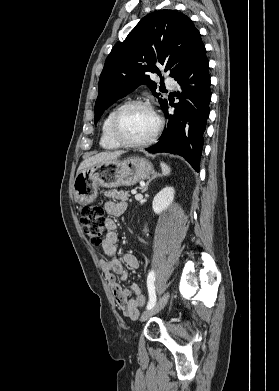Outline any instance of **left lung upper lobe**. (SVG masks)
<instances>
[{
    "instance_id": "1",
    "label": "left lung upper lobe",
    "mask_w": 279,
    "mask_h": 391,
    "mask_svg": "<svg viewBox=\"0 0 279 391\" xmlns=\"http://www.w3.org/2000/svg\"><path fill=\"white\" fill-rule=\"evenodd\" d=\"M202 47L200 32L188 16L176 10H160L145 16L125 41L114 45L105 61L99 78L94 122L114 101L142 84L148 85L163 109L168 102L156 92L157 85L150 74L161 76L159 69L163 67L176 80Z\"/></svg>"
}]
</instances>
